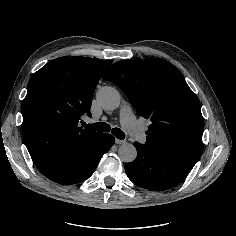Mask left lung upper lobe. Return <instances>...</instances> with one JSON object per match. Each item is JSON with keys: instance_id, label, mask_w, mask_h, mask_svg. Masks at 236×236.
I'll return each mask as SVG.
<instances>
[{"instance_id": "1", "label": "left lung upper lobe", "mask_w": 236, "mask_h": 236, "mask_svg": "<svg viewBox=\"0 0 236 236\" xmlns=\"http://www.w3.org/2000/svg\"><path fill=\"white\" fill-rule=\"evenodd\" d=\"M102 78L118 85L138 115L152 122L147 145L195 165L203 151L204 119L198 97L173 64L163 59L124 60Z\"/></svg>"}]
</instances>
